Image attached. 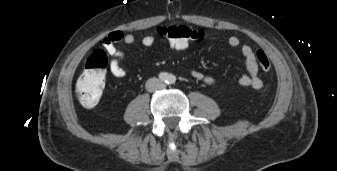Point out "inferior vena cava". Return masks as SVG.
<instances>
[{
    "mask_svg": "<svg viewBox=\"0 0 337 171\" xmlns=\"http://www.w3.org/2000/svg\"><path fill=\"white\" fill-rule=\"evenodd\" d=\"M145 87L148 92H155L163 87V83L157 78H150L146 81Z\"/></svg>",
    "mask_w": 337,
    "mask_h": 171,
    "instance_id": "1",
    "label": "inferior vena cava"
}]
</instances>
